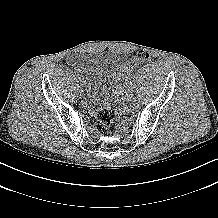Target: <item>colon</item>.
Segmentation results:
<instances>
[{"label": "colon", "mask_w": 218, "mask_h": 218, "mask_svg": "<svg viewBox=\"0 0 218 218\" xmlns=\"http://www.w3.org/2000/svg\"><path fill=\"white\" fill-rule=\"evenodd\" d=\"M137 57L141 61H146L149 58V54L145 51H140L138 52ZM114 117H115L114 110L110 107L101 108L96 113L97 121L99 122L101 128L104 131H107L110 129L113 123Z\"/></svg>", "instance_id": "obj_1"}]
</instances>
